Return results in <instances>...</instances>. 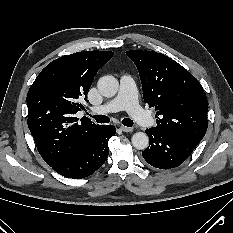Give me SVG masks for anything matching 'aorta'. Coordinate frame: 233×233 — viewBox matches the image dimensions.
I'll return each mask as SVG.
<instances>
[{
	"label": "aorta",
	"mask_w": 233,
	"mask_h": 233,
	"mask_svg": "<svg viewBox=\"0 0 233 233\" xmlns=\"http://www.w3.org/2000/svg\"><path fill=\"white\" fill-rule=\"evenodd\" d=\"M97 87L101 95L110 98L117 94L119 82L115 77L107 75L98 80ZM131 142L134 148L144 150L149 145V138L144 132H136L132 136Z\"/></svg>",
	"instance_id": "obj_1"
}]
</instances>
